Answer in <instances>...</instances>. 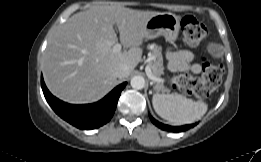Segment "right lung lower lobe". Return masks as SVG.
Masks as SVG:
<instances>
[{
	"mask_svg": "<svg viewBox=\"0 0 261 162\" xmlns=\"http://www.w3.org/2000/svg\"><path fill=\"white\" fill-rule=\"evenodd\" d=\"M126 84V82L120 84L96 103L72 105L54 97L47 89L41 76V87L44 96L54 112L73 126L86 130L98 128L110 121L115 112L121 91Z\"/></svg>",
	"mask_w": 261,
	"mask_h": 162,
	"instance_id": "98d812e1",
	"label": "right lung lower lobe"
}]
</instances>
